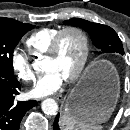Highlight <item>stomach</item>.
<instances>
[{"label": "stomach", "mask_w": 130, "mask_h": 130, "mask_svg": "<svg viewBox=\"0 0 130 130\" xmlns=\"http://www.w3.org/2000/svg\"><path fill=\"white\" fill-rule=\"evenodd\" d=\"M88 75L98 77L96 86L83 92L82 83ZM120 94V81L115 67L106 61L93 66L67 96L63 111L89 125L101 124L112 115Z\"/></svg>", "instance_id": "0dacf381"}]
</instances>
